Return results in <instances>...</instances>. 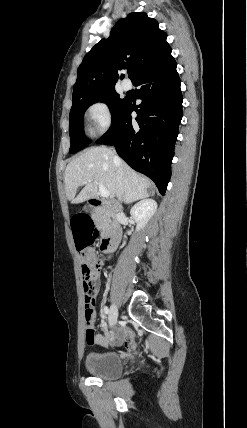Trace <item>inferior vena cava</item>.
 Listing matches in <instances>:
<instances>
[{"label": "inferior vena cava", "mask_w": 247, "mask_h": 428, "mask_svg": "<svg viewBox=\"0 0 247 428\" xmlns=\"http://www.w3.org/2000/svg\"><path fill=\"white\" fill-rule=\"evenodd\" d=\"M114 162L119 165V169L117 170V184H118V190L121 193L122 189H123V185H122L123 173H122V170L120 168L121 159L117 155H115L114 156ZM119 199H120V195H119Z\"/></svg>", "instance_id": "inferior-vena-cava-1"}]
</instances>
